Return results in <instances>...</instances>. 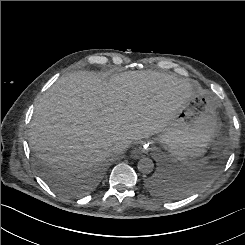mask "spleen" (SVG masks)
Instances as JSON below:
<instances>
[{"instance_id": "obj_1", "label": "spleen", "mask_w": 245, "mask_h": 245, "mask_svg": "<svg viewBox=\"0 0 245 245\" xmlns=\"http://www.w3.org/2000/svg\"><path fill=\"white\" fill-rule=\"evenodd\" d=\"M206 164H207L206 160H200V161L185 162L184 166L189 171H197L204 168Z\"/></svg>"}]
</instances>
